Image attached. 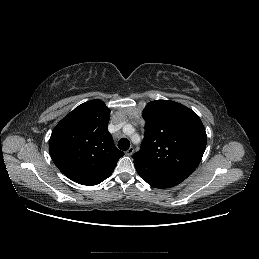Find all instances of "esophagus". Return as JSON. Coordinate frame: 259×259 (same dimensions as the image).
<instances>
[{
    "label": "esophagus",
    "instance_id": "esophagus-1",
    "mask_svg": "<svg viewBox=\"0 0 259 259\" xmlns=\"http://www.w3.org/2000/svg\"><path fill=\"white\" fill-rule=\"evenodd\" d=\"M133 153H134V148H133V147H130V148L125 152V154L128 155V156H131Z\"/></svg>",
    "mask_w": 259,
    "mask_h": 259
}]
</instances>
